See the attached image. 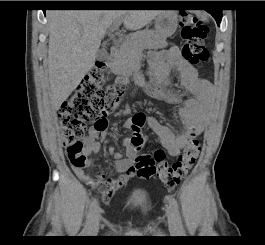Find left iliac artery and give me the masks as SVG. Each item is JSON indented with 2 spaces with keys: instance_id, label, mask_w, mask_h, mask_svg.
<instances>
[{
  "instance_id": "1",
  "label": "left iliac artery",
  "mask_w": 265,
  "mask_h": 245,
  "mask_svg": "<svg viewBox=\"0 0 265 245\" xmlns=\"http://www.w3.org/2000/svg\"><path fill=\"white\" fill-rule=\"evenodd\" d=\"M166 199L168 200L170 208L172 209V212L175 216L178 232L184 233L185 230H184V226L182 224L179 207H178L176 200L170 195L166 196Z\"/></svg>"
}]
</instances>
